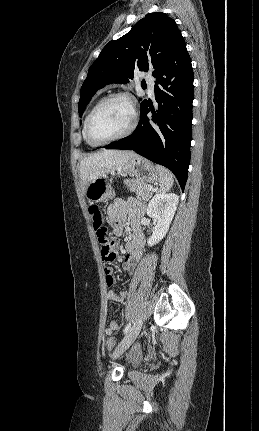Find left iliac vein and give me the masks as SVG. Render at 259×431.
<instances>
[{
  "label": "left iliac vein",
  "instance_id": "1",
  "mask_svg": "<svg viewBox=\"0 0 259 431\" xmlns=\"http://www.w3.org/2000/svg\"><path fill=\"white\" fill-rule=\"evenodd\" d=\"M142 327V320H138L133 327L126 333L124 338L121 340V342L118 344L117 348L115 349L113 353V358L119 357L123 352H125L132 343L136 340L137 336L139 335V332Z\"/></svg>",
  "mask_w": 259,
  "mask_h": 431
}]
</instances>
